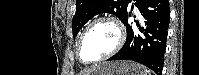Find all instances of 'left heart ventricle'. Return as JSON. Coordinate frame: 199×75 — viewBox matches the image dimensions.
I'll use <instances>...</instances> for the list:
<instances>
[{"mask_svg":"<svg viewBox=\"0 0 199 75\" xmlns=\"http://www.w3.org/2000/svg\"><path fill=\"white\" fill-rule=\"evenodd\" d=\"M117 40L116 30L107 23L97 24L86 34L81 46V57L93 61L113 49Z\"/></svg>","mask_w":199,"mask_h":75,"instance_id":"b2bd125f","label":"left heart ventricle"}]
</instances>
